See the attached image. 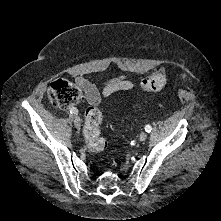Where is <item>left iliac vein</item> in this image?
<instances>
[{
    "label": "left iliac vein",
    "mask_w": 221,
    "mask_h": 221,
    "mask_svg": "<svg viewBox=\"0 0 221 221\" xmlns=\"http://www.w3.org/2000/svg\"><path fill=\"white\" fill-rule=\"evenodd\" d=\"M140 141H145L147 139V133L146 132H142L140 134V137H139Z\"/></svg>",
    "instance_id": "4c4485c4"
}]
</instances>
